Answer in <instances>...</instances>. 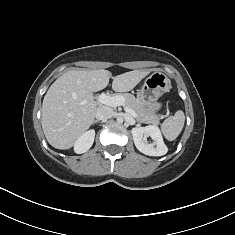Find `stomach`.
<instances>
[{
	"instance_id": "0dacf381",
	"label": "stomach",
	"mask_w": 235,
	"mask_h": 235,
	"mask_svg": "<svg viewBox=\"0 0 235 235\" xmlns=\"http://www.w3.org/2000/svg\"><path fill=\"white\" fill-rule=\"evenodd\" d=\"M171 88V81L163 72H154L147 77L137 92V100L152 112L161 109L158 99Z\"/></svg>"
}]
</instances>
